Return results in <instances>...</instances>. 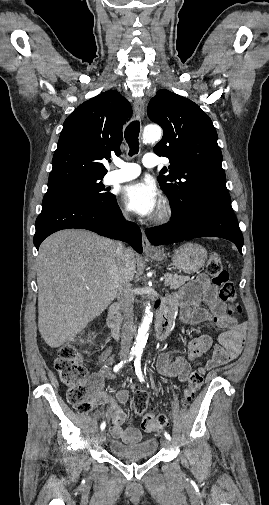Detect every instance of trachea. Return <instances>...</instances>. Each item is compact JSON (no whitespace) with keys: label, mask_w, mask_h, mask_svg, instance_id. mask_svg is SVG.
Returning <instances> with one entry per match:
<instances>
[{"label":"trachea","mask_w":269,"mask_h":505,"mask_svg":"<svg viewBox=\"0 0 269 505\" xmlns=\"http://www.w3.org/2000/svg\"><path fill=\"white\" fill-rule=\"evenodd\" d=\"M139 132L140 122L138 120L132 121L125 129L124 137L130 148V156L137 154L139 151Z\"/></svg>","instance_id":"1"}]
</instances>
